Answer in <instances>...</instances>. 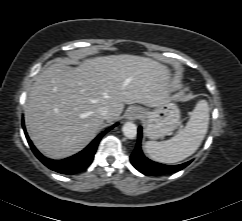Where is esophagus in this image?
Here are the masks:
<instances>
[{
  "instance_id": "1",
  "label": "esophagus",
  "mask_w": 242,
  "mask_h": 221,
  "mask_svg": "<svg viewBox=\"0 0 242 221\" xmlns=\"http://www.w3.org/2000/svg\"><path fill=\"white\" fill-rule=\"evenodd\" d=\"M141 116H142V110L138 107L131 108L126 114V118L129 120H136Z\"/></svg>"
}]
</instances>
